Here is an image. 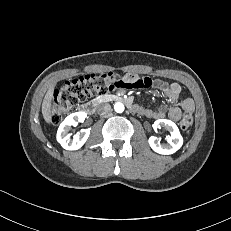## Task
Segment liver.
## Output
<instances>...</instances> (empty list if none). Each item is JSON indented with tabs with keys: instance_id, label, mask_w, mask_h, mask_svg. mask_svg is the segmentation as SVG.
<instances>
[{
	"instance_id": "obj_1",
	"label": "liver",
	"mask_w": 231,
	"mask_h": 231,
	"mask_svg": "<svg viewBox=\"0 0 231 231\" xmlns=\"http://www.w3.org/2000/svg\"><path fill=\"white\" fill-rule=\"evenodd\" d=\"M53 90L54 85H51L47 93L45 94V97L42 102V115L44 120L49 124L52 122L51 106L53 99Z\"/></svg>"
}]
</instances>
